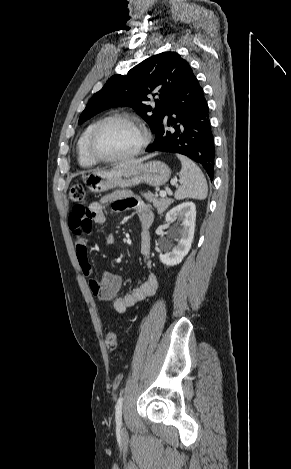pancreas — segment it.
<instances>
[{
    "mask_svg": "<svg viewBox=\"0 0 291 469\" xmlns=\"http://www.w3.org/2000/svg\"><path fill=\"white\" fill-rule=\"evenodd\" d=\"M142 196L149 202L153 203V206L157 208V211L159 214H162L168 208V206L173 202V200L169 198L158 199L151 192L142 193Z\"/></svg>",
    "mask_w": 291,
    "mask_h": 469,
    "instance_id": "obj_1",
    "label": "pancreas"
}]
</instances>
